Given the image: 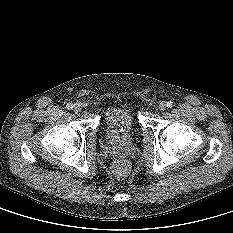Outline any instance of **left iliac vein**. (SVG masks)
<instances>
[{
	"label": "left iliac vein",
	"instance_id": "4c4485c4",
	"mask_svg": "<svg viewBox=\"0 0 233 233\" xmlns=\"http://www.w3.org/2000/svg\"><path fill=\"white\" fill-rule=\"evenodd\" d=\"M166 107H167V105H166V103L164 101L159 103V110L160 111L166 110Z\"/></svg>",
	"mask_w": 233,
	"mask_h": 233
}]
</instances>
